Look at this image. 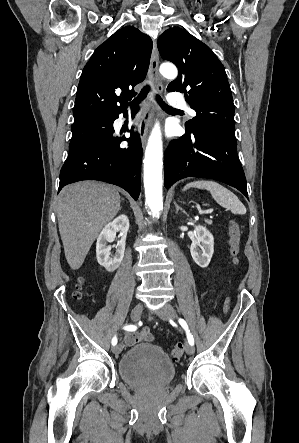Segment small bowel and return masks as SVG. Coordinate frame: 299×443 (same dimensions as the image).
<instances>
[{"instance_id":"c3829d8e","label":"small bowel","mask_w":299,"mask_h":443,"mask_svg":"<svg viewBox=\"0 0 299 443\" xmlns=\"http://www.w3.org/2000/svg\"><path fill=\"white\" fill-rule=\"evenodd\" d=\"M154 336L150 331L149 327L143 328L141 331L137 333H129L125 336L124 342L126 346H133L137 343L141 342H151L153 341Z\"/></svg>"}]
</instances>
